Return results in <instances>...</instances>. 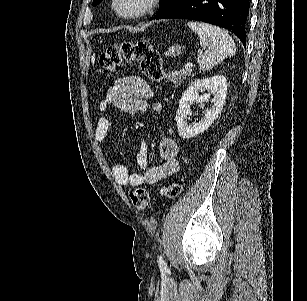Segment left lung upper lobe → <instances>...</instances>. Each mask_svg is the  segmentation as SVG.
<instances>
[{"label": "left lung upper lobe", "instance_id": "left-lung-upper-lobe-1", "mask_svg": "<svg viewBox=\"0 0 307 301\" xmlns=\"http://www.w3.org/2000/svg\"><path fill=\"white\" fill-rule=\"evenodd\" d=\"M102 0H93V5H97ZM178 0H161V6L158 11L157 17L161 14H163L167 9H169L172 5H174Z\"/></svg>", "mask_w": 307, "mask_h": 301}]
</instances>
